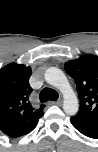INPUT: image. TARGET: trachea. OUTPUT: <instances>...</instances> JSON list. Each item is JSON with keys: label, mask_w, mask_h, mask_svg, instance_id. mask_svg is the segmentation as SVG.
<instances>
[{"label": "trachea", "mask_w": 98, "mask_h": 152, "mask_svg": "<svg viewBox=\"0 0 98 152\" xmlns=\"http://www.w3.org/2000/svg\"><path fill=\"white\" fill-rule=\"evenodd\" d=\"M58 97H59L58 93L51 88H44L39 95L41 102H47L49 100L56 101Z\"/></svg>", "instance_id": "obj_1"}]
</instances>
